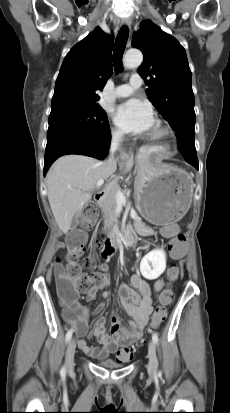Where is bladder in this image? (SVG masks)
<instances>
[{"instance_id": "bladder-1", "label": "bladder", "mask_w": 230, "mask_h": 413, "mask_svg": "<svg viewBox=\"0 0 230 413\" xmlns=\"http://www.w3.org/2000/svg\"><path fill=\"white\" fill-rule=\"evenodd\" d=\"M99 365H101L102 367L105 368H109V369H116L121 367V364L111 360V359H101L99 361Z\"/></svg>"}]
</instances>
